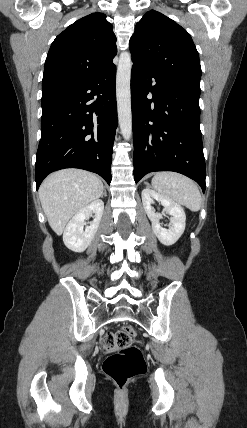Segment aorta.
Wrapping results in <instances>:
<instances>
[{
    "mask_svg": "<svg viewBox=\"0 0 247 428\" xmlns=\"http://www.w3.org/2000/svg\"><path fill=\"white\" fill-rule=\"evenodd\" d=\"M131 68V55L128 52L121 53L117 68L116 95L120 130L125 140L132 136Z\"/></svg>",
    "mask_w": 247,
    "mask_h": 428,
    "instance_id": "762f6f07",
    "label": "aorta"
}]
</instances>
